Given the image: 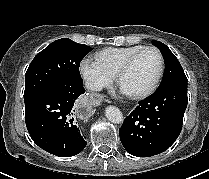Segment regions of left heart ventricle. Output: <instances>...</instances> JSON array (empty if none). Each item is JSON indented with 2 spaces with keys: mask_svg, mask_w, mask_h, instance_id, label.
Here are the masks:
<instances>
[{
  "mask_svg": "<svg viewBox=\"0 0 209 179\" xmlns=\"http://www.w3.org/2000/svg\"><path fill=\"white\" fill-rule=\"evenodd\" d=\"M159 65V57L156 52H144L123 76L120 88L126 94H134L145 90L156 78Z\"/></svg>",
  "mask_w": 209,
  "mask_h": 179,
  "instance_id": "1",
  "label": "left heart ventricle"
}]
</instances>
